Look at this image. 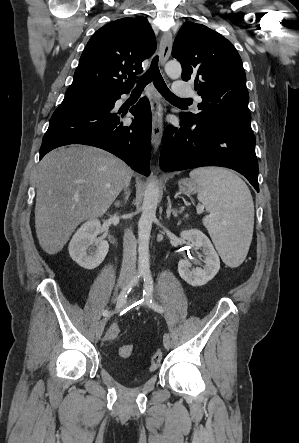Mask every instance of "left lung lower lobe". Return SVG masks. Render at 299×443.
<instances>
[{
	"label": "left lung lower lobe",
	"mask_w": 299,
	"mask_h": 443,
	"mask_svg": "<svg viewBox=\"0 0 299 443\" xmlns=\"http://www.w3.org/2000/svg\"><path fill=\"white\" fill-rule=\"evenodd\" d=\"M180 127L168 126L163 136V171L221 166L244 175L259 192L255 136L250 123L204 122L180 114Z\"/></svg>",
	"instance_id": "obj_1"
}]
</instances>
